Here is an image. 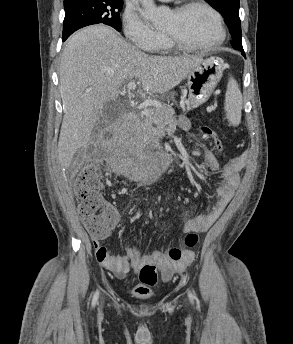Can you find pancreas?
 I'll return each instance as SVG.
<instances>
[{
    "mask_svg": "<svg viewBox=\"0 0 293 344\" xmlns=\"http://www.w3.org/2000/svg\"><path fill=\"white\" fill-rule=\"evenodd\" d=\"M174 112L170 109V106L164 104L161 108H151L146 110L144 113H141V121L137 123L136 129L125 128L121 129L119 136L122 139H126L129 136L135 134L147 135L150 131L154 130L153 125L163 127L161 130H155L159 135L162 134L164 127L168 123H174L179 125L180 121H177L173 116Z\"/></svg>",
    "mask_w": 293,
    "mask_h": 344,
    "instance_id": "cf45deb5",
    "label": "pancreas"
}]
</instances>
